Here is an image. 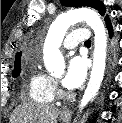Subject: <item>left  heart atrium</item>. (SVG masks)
Instances as JSON below:
<instances>
[{
    "label": "left heart atrium",
    "instance_id": "obj_1",
    "mask_svg": "<svg viewBox=\"0 0 122 123\" xmlns=\"http://www.w3.org/2000/svg\"><path fill=\"white\" fill-rule=\"evenodd\" d=\"M87 76L86 60L79 55L70 58L66 74L63 78V85L70 90L79 88Z\"/></svg>",
    "mask_w": 122,
    "mask_h": 123
}]
</instances>
